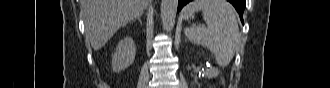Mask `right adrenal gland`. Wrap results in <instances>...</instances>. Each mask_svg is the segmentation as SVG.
I'll return each instance as SVG.
<instances>
[{"label": "right adrenal gland", "mask_w": 330, "mask_h": 88, "mask_svg": "<svg viewBox=\"0 0 330 88\" xmlns=\"http://www.w3.org/2000/svg\"><path fill=\"white\" fill-rule=\"evenodd\" d=\"M136 19L142 24L141 16L137 17ZM136 19H134L133 21H135Z\"/></svg>", "instance_id": "obj_1"}]
</instances>
